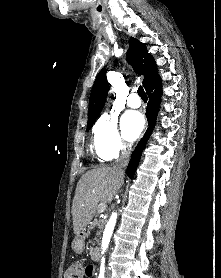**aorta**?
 Returning a JSON list of instances; mask_svg holds the SVG:
<instances>
[{"label":"aorta","instance_id":"762f6f07","mask_svg":"<svg viewBox=\"0 0 221 278\" xmlns=\"http://www.w3.org/2000/svg\"><path fill=\"white\" fill-rule=\"evenodd\" d=\"M117 219V213L113 212L109 221L107 222V225L105 227L103 238H102V254L105 253V251L108 248L115 224ZM104 260V257H102V261Z\"/></svg>","mask_w":221,"mask_h":278}]
</instances>
